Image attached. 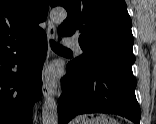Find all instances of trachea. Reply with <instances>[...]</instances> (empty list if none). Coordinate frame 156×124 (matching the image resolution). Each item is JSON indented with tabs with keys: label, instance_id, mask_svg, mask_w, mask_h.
Segmentation results:
<instances>
[{
	"label": "trachea",
	"instance_id": "3493384b",
	"mask_svg": "<svg viewBox=\"0 0 156 124\" xmlns=\"http://www.w3.org/2000/svg\"><path fill=\"white\" fill-rule=\"evenodd\" d=\"M50 45H51V48L55 51H69V49L63 47L62 45L56 43L53 40H50Z\"/></svg>",
	"mask_w": 156,
	"mask_h": 124
}]
</instances>
